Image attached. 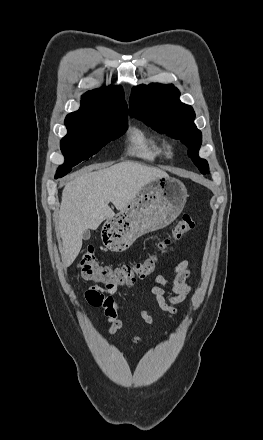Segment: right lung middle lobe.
Segmentation results:
<instances>
[{"mask_svg":"<svg viewBox=\"0 0 263 440\" xmlns=\"http://www.w3.org/2000/svg\"><path fill=\"white\" fill-rule=\"evenodd\" d=\"M66 127L68 134L61 140L65 163L57 169L55 178L65 176L73 166L120 137L127 129V116L95 117L82 125Z\"/></svg>","mask_w":263,"mask_h":440,"instance_id":"right-lung-middle-lobe-1","label":"right lung middle lobe"}]
</instances>
